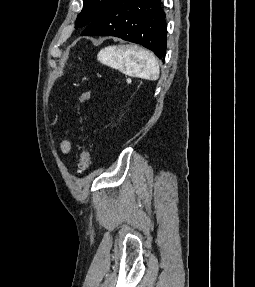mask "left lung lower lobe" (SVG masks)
<instances>
[{
    "instance_id": "obj_1",
    "label": "left lung lower lobe",
    "mask_w": 255,
    "mask_h": 287,
    "mask_svg": "<svg viewBox=\"0 0 255 287\" xmlns=\"http://www.w3.org/2000/svg\"><path fill=\"white\" fill-rule=\"evenodd\" d=\"M160 1L112 0L81 35L119 37L141 44L164 59L167 28Z\"/></svg>"
}]
</instances>
